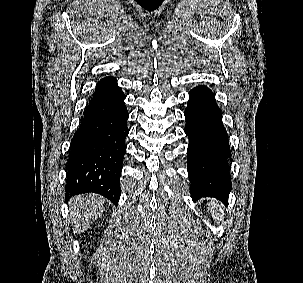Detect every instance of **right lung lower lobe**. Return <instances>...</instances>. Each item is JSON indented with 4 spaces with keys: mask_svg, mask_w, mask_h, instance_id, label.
<instances>
[{
    "mask_svg": "<svg viewBox=\"0 0 303 283\" xmlns=\"http://www.w3.org/2000/svg\"><path fill=\"white\" fill-rule=\"evenodd\" d=\"M125 95L116 78H103L96 86L84 118L71 140L67 163V199L98 193L117 204L121 194L122 159L129 117Z\"/></svg>",
    "mask_w": 303,
    "mask_h": 283,
    "instance_id": "obj_1",
    "label": "right lung lower lobe"
}]
</instances>
